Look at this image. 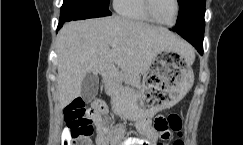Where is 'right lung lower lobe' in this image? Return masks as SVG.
<instances>
[{"label": "right lung lower lobe", "mask_w": 243, "mask_h": 145, "mask_svg": "<svg viewBox=\"0 0 243 145\" xmlns=\"http://www.w3.org/2000/svg\"><path fill=\"white\" fill-rule=\"evenodd\" d=\"M108 8L101 7L87 0H64L57 31L71 20H81L94 17L110 16Z\"/></svg>", "instance_id": "98d812e1"}]
</instances>
